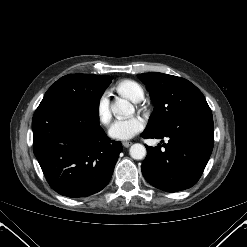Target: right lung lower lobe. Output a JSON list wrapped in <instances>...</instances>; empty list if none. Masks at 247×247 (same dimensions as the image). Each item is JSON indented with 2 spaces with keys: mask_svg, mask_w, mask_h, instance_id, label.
Here are the masks:
<instances>
[{
  "mask_svg": "<svg viewBox=\"0 0 247 247\" xmlns=\"http://www.w3.org/2000/svg\"><path fill=\"white\" fill-rule=\"evenodd\" d=\"M34 154L57 193L86 197L110 181L122 150L99 125V110L62 99L42 100L33 121Z\"/></svg>",
  "mask_w": 247,
  "mask_h": 247,
  "instance_id": "98d812e1",
  "label": "right lung lower lobe"
}]
</instances>
